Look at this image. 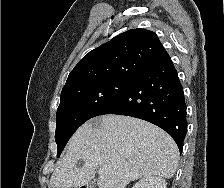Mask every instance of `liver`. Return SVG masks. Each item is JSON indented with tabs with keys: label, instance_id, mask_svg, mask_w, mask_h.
Wrapping results in <instances>:
<instances>
[{
	"label": "liver",
	"instance_id": "1",
	"mask_svg": "<svg viewBox=\"0 0 224 188\" xmlns=\"http://www.w3.org/2000/svg\"><path fill=\"white\" fill-rule=\"evenodd\" d=\"M178 161L175 141L159 127L133 117L103 115L72 136L50 187H83L97 169L105 170L98 179L99 188H125L131 181L154 175L170 179Z\"/></svg>",
	"mask_w": 224,
	"mask_h": 188
}]
</instances>
